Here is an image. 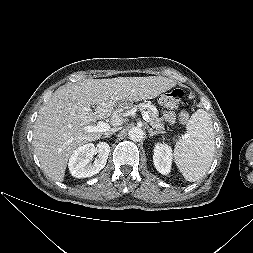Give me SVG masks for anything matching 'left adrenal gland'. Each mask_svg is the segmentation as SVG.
Masks as SVG:
<instances>
[{"instance_id":"a2214340","label":"left adrenal gland","mask_w":253,"mask_h":253,"mask_svg":"<svg viewBox=\"0 0 253 253\" xmlns=\"http://www.w3.org/2000/svg\"><path fill=\"white\" fill-rule=\"evenodd\" d=\"M148 132H149L150 137H153L154 135L158 134V132L153 131L151 128L148 129Z\"/></svg>"}]
</instances>
